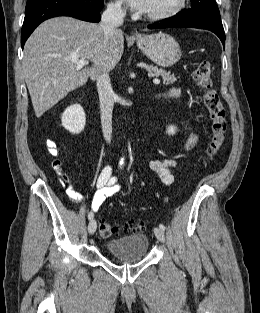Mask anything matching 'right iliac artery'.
Wrapping results in <instances>:
<instances>
[{
	"instance_id": "1",
	"label": "right iliac artery",
	"mask_w": 260,
	"mask_h": 313,
	"mask_svg": "<svg viewBox=\"0 0 260 313\" xmlns=\"http://www.w3.org/2000/svg\"><path fill=\"white\" fill-rule=\"evenodd\" d=\"M93 218V213L92 212H90L89 214H88V219H92Z\"/></svg>"
}]
</instances>
